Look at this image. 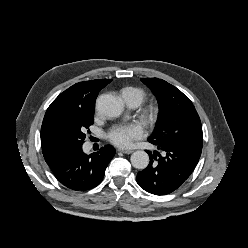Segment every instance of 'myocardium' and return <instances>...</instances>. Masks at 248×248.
Wrapping results in <instances>:
<instances>
[{
    "label": "myocardium",
    "mask_w": 248,
    "mask_h": 248,
    "mask_svg": "<svg viewBox=\"0 0 248 248\" xmlns=\"http://www.w3.org/2000/svg\"><path fill=\"white\" fill-rule=\"evenodd\" d=\"M154 115H155V112L151 113V118H153V117H154Z\"/></svg>",
    "instance_id": "1"
}]
</instances>
